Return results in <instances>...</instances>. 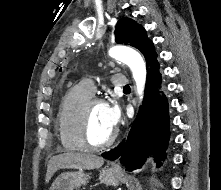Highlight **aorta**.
<instances>
[{"label": "aorta", "mask_w": 221, "mask_h": 190, "mask_svg": "<svg viewBox=\"0 0 221 190\" xmlns=\"http://www.w3.org/2000/svg\"><path fill=\"white\" fill-rule=\"evenodd\" d=\"M108 53L112 58L130 67L136 82L137 94L142 99L146 82V65L143 58L134 49L122 45L110 48Z\"/></svg>", "instance_id": "aorta-1"}]
</instances>
